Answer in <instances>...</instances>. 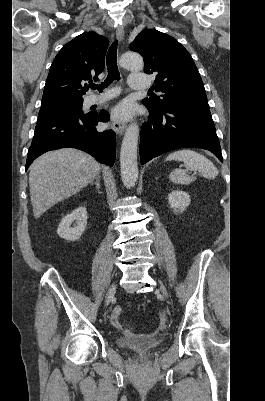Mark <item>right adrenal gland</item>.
Returning a JSON list of instances; mask_svg holds the SVG:
<instances>
[{
    "mask_svg": "<svg viewBox=\"0 0 265 401\" xmlns=\"http://www.w3.org/2000/svg\"><path fill=\"white\" fill-rule=\"evenodd\" d=\"M100 178H101V176H96L95 182H93V180L91 182V184H96V188H98V190L100 188Z\"/></svg>",
    "mask_w": 265,
    "mask_h": 401,
    "instance_id": "2a0ac1e0",
    "label": "right adrenal gland"
}]
</instances>
